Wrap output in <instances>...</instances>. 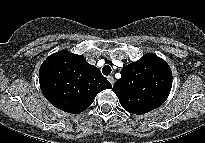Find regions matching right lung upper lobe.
Instances as JSON below:
<instances>
[{
	"instance_id": "cb5924a9",
	"label": "right lung upper lobe",
	"mask_w": 205,
	"mask_h": 143,
	"mask_svg": "<svg viewBox=\"0 0 205 143\" xmlns=\"http://www.w3.org/2000/svg\"><path fill=\"white\" fill-rule=\"evenodd\" d=\"M39 82L43 95L53 106L72 114L87 109L99 92L112 88L83 55L66 50L46 58L40 67Z\"/></svg>"
}]
</instances>
